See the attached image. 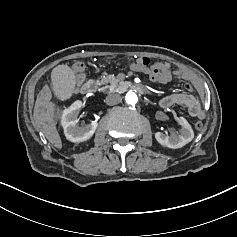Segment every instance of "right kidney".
Instances as JSON below:
<instances>
[{"instance_id": "ca27d5eb", "label": "right kidney", "mask_w": 237, "mask_h": 237, "mask_svg": "<svg viewBox=\"0 0 237 237\" xmlns=\"http://www.w3.org/2000/svg\"><path fill=\"white\" fill-rule=\"evenodd\" d=\"M82 106L83 105L80 100L75 101L68 108V114L62 124L64 134L71 142H83L90 139L98 126L96 121H92L87 125H79L78 115Z\"/></svg>"}]
</instances>
